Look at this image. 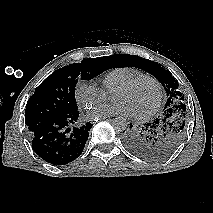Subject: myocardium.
<instances>
[{
    "mask_svg": "<svg viewBox=\"0 0 213 213\" xmlns=\"http://www.w3.org/2000/svg\"><path fill=\"white\" fill-rule=\"evenodd\" d=\"M145 81H151L153 82L158 90V95H157V100L155 102V104L147 111L140 113V114H132V117L138 120H144L147 119L149 117H151L152 115H154L159 109L160 106L162 104L163 101V86L161 84V82L154 76L151 75H144L141 77H138L130 82H127L119 87H117L114 91H119V90H129L132 89L136 86H138L139 84L145 82Z\"/></svg>",
    "mask_w": 213,
    "mask_h": 213,
    "instance_id": "1",
    "label": "myocardium"
}]
</instances>
